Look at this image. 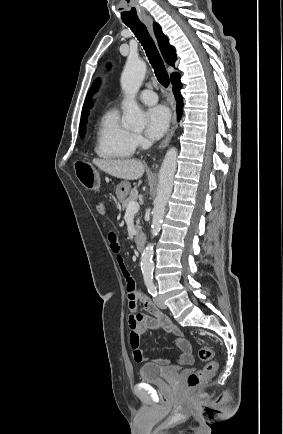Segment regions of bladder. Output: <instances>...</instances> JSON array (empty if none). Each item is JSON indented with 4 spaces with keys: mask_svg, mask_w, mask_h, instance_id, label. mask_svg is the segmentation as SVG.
Here are the masks:
<instances>
[{
    "mask_svg": "<svg viewBox=\"0 0 283 434\" xmlns=\"http://www.w3.org/2000/svg\"><path fill=\"white\" fill-rule=\"evenodd\" d=\"M176 368L163 367L154 363L145 364L140 369V379L144 382H160L178 375Z\"/></svg>",
    "mask_w": 283,
    "mask_h": 434,
    "instance_id": "1",
    "label": "bladder"
}]
</instances>
